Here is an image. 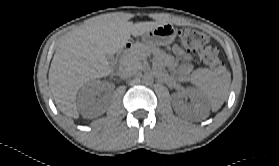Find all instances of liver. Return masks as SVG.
<instances>
[{
  "mask_svg": "<svg viewBox=\"0 0 279 166\" xmlns=\"http://www.w3.org/2000/svg\"><path fill=\"white\" fill-rule=\"evenodd\" d=\"M161 25L158 22H128L119 14L97 17L66 34L54 54L49 84L58 109L70 118H79L76 95L90 80L111 73L107 55L126 46L130 36L139 37Z\"/></svg>",
  "mask_w": 279,
  "mask_h": 166,
  "instance_id": "liver-1",
  "label": "liver"
}]
</instances>
